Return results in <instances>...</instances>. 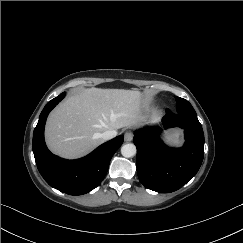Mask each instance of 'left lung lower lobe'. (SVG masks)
Listing matches in <instances>:
<instances>
[{"label": "left lung lower lobe", "instance_id": "1", "mask_svg": "<svg viewBox=\"0 0 243 243\" xmlns=\"http://www.w3.org/2000/svg\"><path fill=\"white\" fill-rule=\"evenodd\" d=\"M165 128L185 130L182 148H169L158 137L161 129L144 128L135 132L137 174L148 189L160 193L178 190L199 170L204 156V134L197 117L166 110L162 119Z\"/></svg>", "mask_w": 243, "mask_h": 243}]
</instances>
